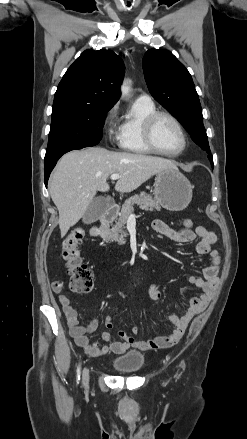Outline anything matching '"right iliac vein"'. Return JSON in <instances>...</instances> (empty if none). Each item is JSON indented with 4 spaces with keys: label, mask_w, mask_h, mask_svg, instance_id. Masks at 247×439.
Instances as JSON below:
<instances>
[{
    "label": "right iliac vein",
    "mask_w": 247,
    "mask_h": 439,
    "mask_svg": "<svg viewBox=\"0 0 247 439\" xmlns=\"http://www.w3.org/2000/svg\"><path fill=\"white\" fill-rule=\"evenodd\" d=\"M89 381V371L87 368L83 370V384H87Z\"/></svg>",
    "instance_id": "right-iliac-vein-1"
}]
</instances>
